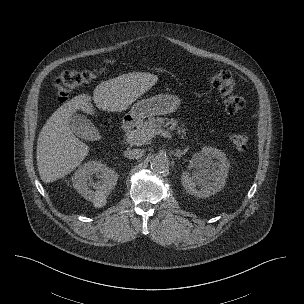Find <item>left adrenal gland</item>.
<instances>
[{"mask_svg":"<svg viewBox=\"0 0 304 304\" xmlns=\"http://www.w3.org/2000/svg\"><path fill=\"white\" fill-rule=\"evenodd\" d=\"M189 147H186L184 150H180V149H176L174 155L180 159L182 155L186 154V152L188 151Z\"/></svg>","mask_w":304,"mask_h":304,"instance_id":"a2214340","label":"left adrenal gland"}]
</instances>
